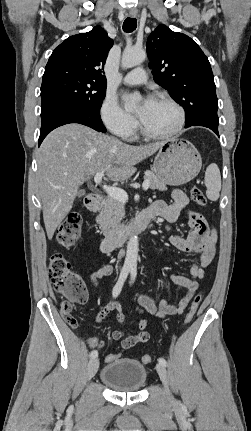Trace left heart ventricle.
Segmentation results:
<instances>
[{
  "label": "left heart ventricle",
  "instance_id": "obj_1",
  "mask_svg": "<svg viewBox=\"0 0 251 431\" xmlns=\"http://www.w3.org/2000/svg\"><path fill=\"white\" fill-rule=\"evenodd\" d=\"M137 114L144 127L153 133H166L177 123L176 109L164 101L154 100L145 111L137 109Z\"/></svg>",
  "mask_w": 251,
  "mask_h": 431
}]
</instances>
